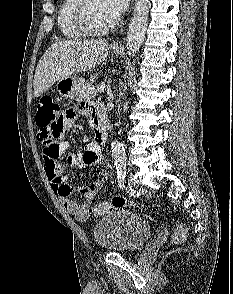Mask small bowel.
I'll return each mask as SVG.
<instances>
[{
	"label": "small bowel",
	"mask_w": 233,
	"mask_h": 294,
	"mask_svg": "<svg viewBox=\"0 0 233 294\" xmlns=\"http://www.w3.org/2000/svg\"><path fill=\"white\" fill-rule=\"evenodd\" d=\"M74 108H58L57 120H52L46 131L38 132L42 144L44 169L51 184L52 190L61 200L64 208L78 221H85L92 209L93 201L99 190L108 181L105 173L97 182L89 186H81L77 189L85 197L83 204H77L70 196L73 188L67 183L64 170L67 165L73 167H87L99 164L102 160V143L95 138L88 143L83 150L66 152L69 149L67 137H71L75 120L79 115L90 118V124L95 128L94 109L95 104H74ZM42 137H48L47 139Z\"/></svg>",
	"instance_id": "c3829d8e"
}]
</instances>
